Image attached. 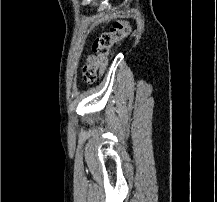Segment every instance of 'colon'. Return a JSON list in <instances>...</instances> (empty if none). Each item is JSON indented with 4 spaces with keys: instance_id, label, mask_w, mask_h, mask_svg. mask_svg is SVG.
<instances>
[{
    "instance_id": "obj_1",
    "label": "colon",
    "mask_w": 217,
    "mask_h": 202,
    "mask_svg": "<svg viewBox=\"0 0 217 202\" xmlns=\"http://www.w3.org/2000/svg\"><path fill=\"white\" fill-rule=\"evenodd\" d=\"M129 33V21L126 19H118L113 22L107 32H104L95 39L92 52L87 56L86 62L82 67V77L85 81L95 79V70H98L99 76L97 77H100L106 68V59L111 47L115 43L125 40Z\"/></svg>"
}]
</instances>
